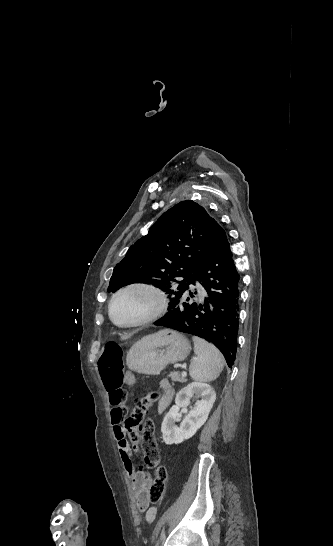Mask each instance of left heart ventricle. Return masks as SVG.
Listing matches in <instances>:
<instances>
[{"mask_svg":"<svg viewBox=\"0 0 333 546\" xmlns=\"http://www.w3.org/2000/svg\"><path fill=\"white\" fill-rule=\"evenodd\" d=\"M153 297L143 291H130L114 303L112 313L119 323H128L146 314L153 306Z\"/></svg>","mask_w":333,"mask_h":546,"instance_id":"obj_1","label":"left heart ventricle"}]
</instances>
